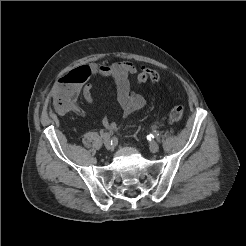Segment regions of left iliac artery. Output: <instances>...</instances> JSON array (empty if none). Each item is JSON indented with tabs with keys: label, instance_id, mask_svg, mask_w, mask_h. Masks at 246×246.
Wrapping results in <instances>:
<instances>
[{
	"label": "left iliac artery",
	"instance_id": "1",
	"mask_svg": "<svg viewBox=\"0 0 246 246\" xmlns=\"http://www.w3.org/2000/svg\"><path fill=\"white\" fill-rule=\"evenodd\" d=\"M158 136H159V132L155 130L149 135V138H157Z\"/></svg>",
	"mask_w": 246,
	"mask_h": 246
}]
</instances>
